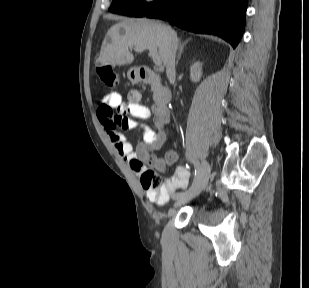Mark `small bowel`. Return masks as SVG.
I'll use <instances>...</instances> for the list:
<instances>
[{"label": "small bowel", "mask_w": 309, "mask_h": 288, "mask_svg": "<svg viewBox=\"0 0 309 288\" xmlns=\"http://www.w3.org/2000/svg\"><path fill=\"white\" fill-rule=\"evenodd\" d=\"M101 105L122 109L126 114L139 120H147L152 116L154 118V127L141 124L130 118L127 119L124 125L118 126L113 123L112 118L107 113L98 112V118L113 146L134 172L139 174L144 172L146 170L145 163L158 170H164L177 161V153L175 151H168L164 157L161 158L151 153L154 150L162 148L167 141L169 114L166 110L156 105H152L149 108L142 104L140 94L136 91H131L129 93L127 102L122 101V97L119 93L111 92L100 101L98 106ZM120 129L141 130L143 141L133 148ZM188 180L189 172L185 168L179 166L176 168L173 176L165 181L160 190L156 192L146 191L145 197L149 202L159 205L165 204L173 192L187 186Z\"/></svg>", "instance_id": "small-bowel-1"}]
</instances>
